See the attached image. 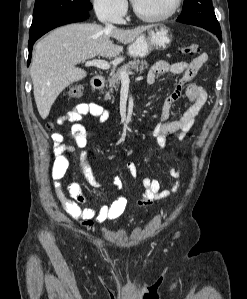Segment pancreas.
<instances>
[{"mask_svg": "<svg viewBox=\"0 0 247 299\" xmlns=\"http://www.w3.org/2000/svg\"><path fill=\"white\" fill-rule=\"evenodd\" d=\"M147 67L148 64L145 60H133L127 64L122 65L121 68L117 72L112 73L108 79L109 91L106 92L105 100H109L111 98L110 94L113 93L114 90L118 91L121 81V72L128 73L135 69L136 71L142 73Z\"/></svg>", "mask_w": 247, "mask_h": 299, "instance_id": "obj_1", "label": "pancreas"}]
</instances>
